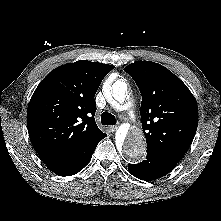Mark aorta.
<instances>
[{
	"mask_svg": "<svg viewBox=\"0 0 221 221\" xmlns=\"http://www.w3.org/2000/svg\"><path fill=\"white\" fill-rule=\"evenodd\" d=\"M128 89L127 84L122 80H116L112 85L104 87V95L107 100L114 99L119 103L125 101ZM117 146L122 149L124 155L131 161L141 160L146 152V142L141 129L136 128L132 131L121 129L116 138Z\"/></svg>",
	"mask_w": 221,
	"mask_h": 221,
	"instance_id": "762f6f07",
	"label": "aorta"
}]
</instances>
